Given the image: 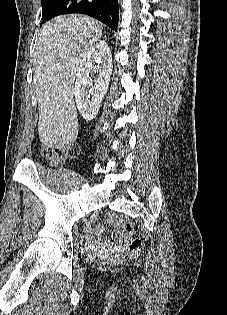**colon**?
<instances>
[{
  "label": "colon",
  "mask_w": 227,
  "mask_h": 315,
  "mask_svg": "<svg viewBox=\"0 0 227 315\" xmlns=\"http://www.w3.org/2000/svg\"><path fill=\"white\" fill-rule=\"evenodd\" d=\"M77 150L76 145H71L63 149H53L47 148L44 149V155L51 159L54 162L63 161L68 157H71L75 154ZM117 223L121 227L122 231L127 237L128 245H127V253L129 256L134 257L139 253L142 242L139 238L134 236V225L133 223L124 217H118L116 219Z\"/></svg>",
  "instance_id": "5ec220e1"
}]
</instances>
